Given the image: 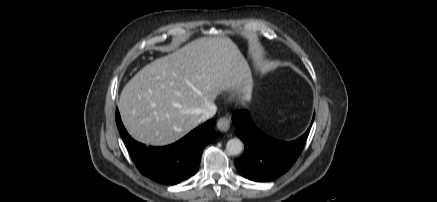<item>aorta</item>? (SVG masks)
<instances>
[{"label":"aorta","mask_w":437,"mask_h":202,"mask_svg":"<svg viewBox=\"0 0 437 202\" xmlns=\"http://www.w3.org/2000/svg\"><path fill=\"white\" fill-rule=\"evenodd\" d=\"M227 152L231 155H238L243 150V143L240 139H230L226 144Z\"/></svg>","instance_id":"1"}]
</instances>
